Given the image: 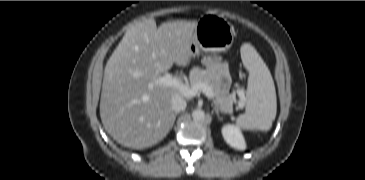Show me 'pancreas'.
Here are the masks:
<instances>
[{
	"label": "pancreas",
	"instance_id": "cf45deb5",
	"mask_svg": "<svg viewBox=\"0 0 365 180\" xmlns=\"http://www.w3.org/2000/svg\"><path fill=\"white\" fill-rule=\"evenodd\" d=\"M189 80L191 85L197 83L207 84L214 93V103L216 106H218L221 111L225 113L232 112V106L234 102L233 96L229 94L228 89H222L219 85L214 84L206 70L199 67L192 68L189 74Z\"/></svg>",
	"mask_w": 365,
	"mask_h": 180
}]
</instances>
